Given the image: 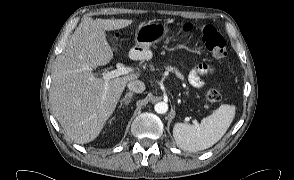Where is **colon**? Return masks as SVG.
<instances>
[{"mask_svg":"<svg viewBox=\"0 0 294 180\" xmlns=\"http://www.w3.org/2000/svg\"><path fill=\"white\" fill-rule=\"evenodd\" d=\"M202 39L216 59H225L227 57L228 53L224 40L213 26L208 25L202 29ZM205 98L209 102H216L218 100L219 92L215 86L208 89Z\"/></svg>","mask_w":294,"mask_h":180,"instance_id":"obj_1","label":"colon"}]
</instances>
